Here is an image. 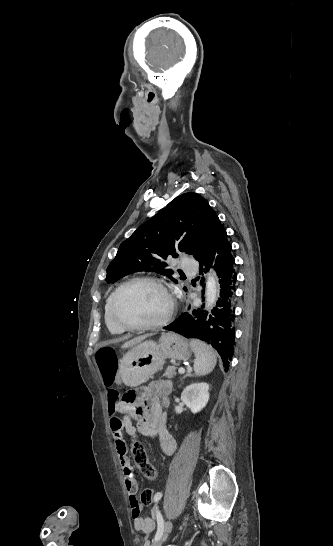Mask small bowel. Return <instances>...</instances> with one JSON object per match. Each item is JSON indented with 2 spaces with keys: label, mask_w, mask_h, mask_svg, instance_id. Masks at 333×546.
<instances>
[{
  "label": "small bowel",
  "mask_w": 333,
  "mask_h": 546,
  "mask_svg": "<svg viewBox=\"0 0 333 546\" xmlns=\"http://www.w3.org/2000/svg\"><path fill=\"white\" fill-rule=\"evenodd\" d=\"M114 379V386L120 387L123 376L116 374ZM171 390L172 383L169 380H157L137 391L136 404L133 406L110 402V429L129 494L133 525L135 530L144 533L153 532L156 528L157 519L162 516L159 501L162 499L163 494L159 492L155 495V504L151 516L143 517L141 515L142 506L137 499L139 483L127 456V445L123 431L134 439L141 436L149 437L157 442L165 455H173L176 450V441L164 425V410L168 407ZM117 413H122L123 416L119 417L116 415ZM132 419L136 420V426L132 424ZM156 478L157 473L149 479L154 481Z\"/></svg>",
  "instance_id": "obj_1"
}]
</instances>
